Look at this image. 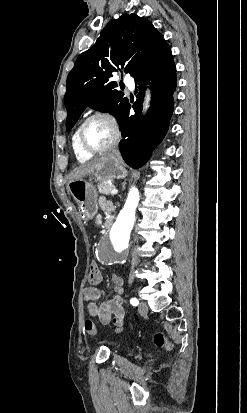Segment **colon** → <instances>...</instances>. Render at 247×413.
Masks as SVG:
<instances>
[{"label": "colon", "instance_id": "5ec220e1", "mask_svg": "<svg viewBox=\"0 0 247 413\" xmlns=\"http://www.w3.org/2000/svg\"><path fill=\"white\" fill-rule=\"evenodd\" d=\"M88 284L91 286L96 285L97 283L101 282V272L97 270V263L96 262H89L88 263ZM84 331L86 334L90 336H94L97 333L96 324L93 320L87 319L84 321ZM153 341L157 343V346L161 348L162 351H167L170 354L175 352L173 347L169 348V344L166 340V337L163 332L155 331L153 335Z\"/></svg>", "mask_w": 247, "mask_h": 413}]
</instances>
